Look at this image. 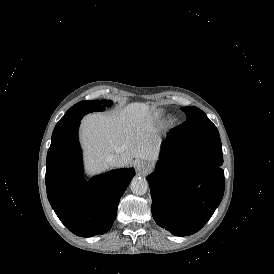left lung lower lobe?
Here are the masks:
<instances>
[{
	"label": "left lung lower lobe",
	"mask_w": 274,
	"mask_h": 274,
	"mask_svg": "<svg viewBox=\"0 0 274 274\" xmlns=\"http://www.w3.org/2000/svg\"><path fill=\"white\" fill-rule=\"evenodd\" d=\"M222 163L219 134L171 129L156 170L147 177L156 223L176 236L200 230L223 198Z\"/></svg>",
	"instance_id": "obj_1"
}]
</instances>
